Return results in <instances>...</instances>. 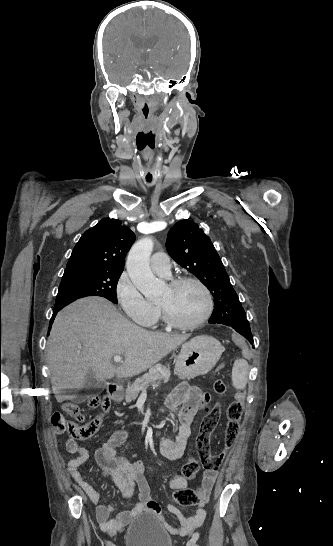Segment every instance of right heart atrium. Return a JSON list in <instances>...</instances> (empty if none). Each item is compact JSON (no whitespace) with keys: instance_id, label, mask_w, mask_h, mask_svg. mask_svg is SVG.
Here are the masks:
<instances>
[{"instance_id":"obj_1","label":"right heart atrium","mask_w":333,"mask_h":546,"mask_svg":"<svg viewBox=\"0 0 333 546\" xmlns=\"http://www.w3.org/2000/svg\"><path fill=\"white\" fill-rule=\"evenodd\" d=\"M115 296L123 313L133 322L149 326L157 320L158 308L143 296L127 273L119 277Z\"/></svg>"}]
</instances>
